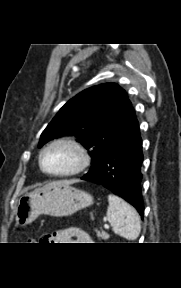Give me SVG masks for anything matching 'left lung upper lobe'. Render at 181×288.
<instances>
[{"label": "left lung upper lobe", "mask_w": 181, "mask_h": 288, "mask_svg": "<svg viewBox=\"0 0 181 288\" xmlns=\"http://www.w3.org/2000/svg\"><path fill=\"white\" fill-rule=\"evenodd\" d=\"M132 104L115 83L88 88L69 100L42 132L38 147L63 135H74L88 150L97 168L125 127Z\"/></svg>", "instance_id": "1"}]
</instances>
